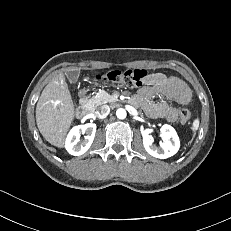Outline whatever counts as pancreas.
<instances>
[{
	"label": "pancreas",
	"mask_w": 231,
	"mask_h": 231,
	"mask_svg": "<svg viewBox=\"0 0 231 231\" xmlns=\"http://www.w3.org/2000/svg\"><path fill=\"white\" fill-rule=\"evenodd\" d=\"M91 101L94 102L96 105H100L108 102H113L115 101V98L105 91H100L99 93H97L96 96H93L91 98Z\"/></svg>",
	"instance_id": "obj_1"
}]
</instances>
